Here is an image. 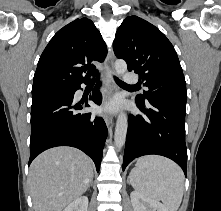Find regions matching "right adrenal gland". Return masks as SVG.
<instances>
[{
  "mask_svg": "<svg viewBox=\"0 0 221 211\" xmlns=\"http://www.w3.org/2000/svg\"><path fill=\"white\" fill-rule=\"evenodd\" d=\"M90 185H93V179L91 180Z\"/></svg>",
  "mask_w": 221,
  "mask_h": 211,
  "instance_id": "right-adrenal-gland-1",
  "label": "right adrenal gland"
}]
</instances>
